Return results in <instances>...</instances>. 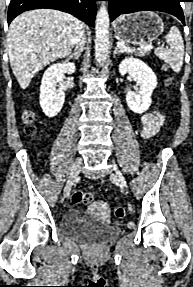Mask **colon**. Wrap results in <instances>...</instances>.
<instances>
[{"label": "colon", "instance_id": "1", "mask_svg": "<svg viewBox=\"0 0 193 287\" xmlns=\"http://www.w3.org/2000/svg\"><path fill=\"white\" fill-rule=\"evenodd\" d=\"M24 121L26 123L25 132L28 135H33L36 131V127L33 124L34 115L32 112H26L24 114ZM93 200L91 193L76 190L72 194V202L74 204H90ZM115 216L122 219L125 216V209L123 207H118L115 209Z\"/></svg>", "mask_w": 193, "mask_h": 287}]
</instances>
